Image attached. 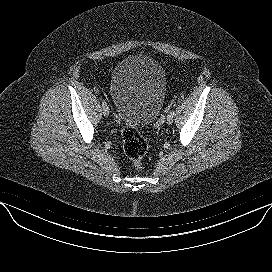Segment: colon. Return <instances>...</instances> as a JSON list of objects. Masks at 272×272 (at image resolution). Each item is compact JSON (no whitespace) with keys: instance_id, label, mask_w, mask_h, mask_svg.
Segmentation results:
<instances>
[{"instance_id":"1","label":"colon","mask_w":272,"mask_h":272,"mask_svg":"<svg viewBox=\"0 0 272 272\" xmlns=\"http://www.w3.org/2000/svg\"><path fill=\"white\" fill-rule=\"evenodd\" d=\"M123 150L131 160L136 170H142L143 158L148 150V144L140 132L133 127L126 126L122 130Z\"/></svg>"}]
</instances>
